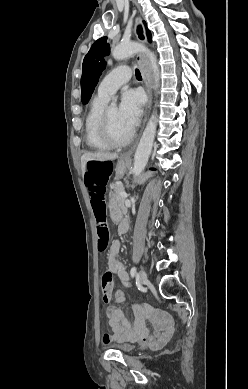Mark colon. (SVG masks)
Here are the masks:
<instances>
[{"mask_svg": "<svg viewBox=\"0 0 248 389\" xmlns=\"http://www.w3.org/2000/svg\"><path fill=\"white\" fill-rule=\"evenodd\" d=\"M86 170V185L92 210L97 219L98 251L104 252L109 243L110 230L106 223L104 192L107 182L110 181V172L112 171L111 161H96L95 158H88ZM123 286L127 291H134L136 286L130 281L129 277L122 279ZM114 286L113 275L109 269L103 271L101 275V292L104 302H108ZM114 298H125L127 293L122 288L114 291Z\"/></svg>", "mask_w": 248, "mask_h": 389, "instance_id": "colon-1", "label": "colon"}]
</instances>
